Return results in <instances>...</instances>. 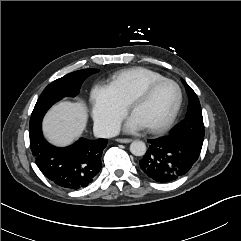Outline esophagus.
Masks as SVG:
<instances>
[{"mask_svg": "<svg viewBox=\"0 0 241 241\" xmlns=\"http://www.w3.org/2000/svg\"><path fill=\"white\" fill-rule=\"evenodd\" d=\"M116 141L119 143H130V142H132V139L118 138Z\"/></svg>", "mask_w": 241, "mask_h": 241, "instance_id": "34e87169", "label": "esophagus"}]
</instances>
